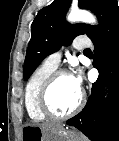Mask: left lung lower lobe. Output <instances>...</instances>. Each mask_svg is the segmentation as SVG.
Masks as SVG:
<instances>
[{"label": "left lung lower lobe", "instance_id": "obj_1", "mask_svg": "<svg viewBox=\"0 0 119 141\" xmlns=\"http://www.w3.org/2000/svg\"><path fill=\"white\" fill-rule=\"evenodd\" d=\"M94 49L93 66L99 77L93 84L87 104L67 120L91 141H119V9L90 37ZM108 98L104 102V86Z\"/></svg>", "mask_w": 119, "mask_h": 141}]
</instances>
